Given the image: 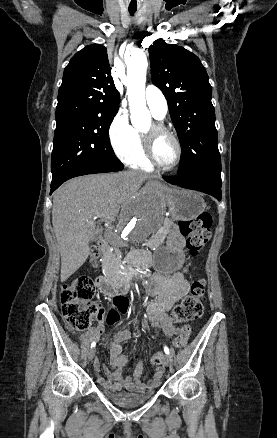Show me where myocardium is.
I'll use <instances>...</instances> for the list:
<instances>
[{
  "instance_id": "1",
  "label": "myocardium",
  "mask_w": 277,
  "mask_h": 438,
  "mask_svg": "<svg viewBox=\"0 0 277 438\" xmlns=\"http://www.w3.org/2000/svg\"><path fill=\"white\" fill-rule=\"evenodd\" d=\"M162 135L168 136L171 139H173V141L175 142L176 147H177L176 159L171 165H164L163 163H161L159 161V159L157 158V155H156V142H157V139ZM141 139H142V143L144 146L146 156H147L148 160L154 166H156L157 168L162 169V170H172L176 166H178V164L180 163L181 158H182L183 148H182L181 141L175 132L168 129L162 123L152 122L150 132H148V133L142 132Z\"/></svg>"
}]
</instances>
